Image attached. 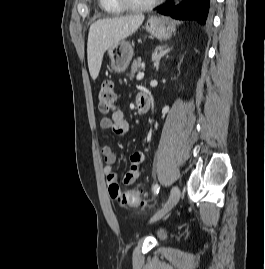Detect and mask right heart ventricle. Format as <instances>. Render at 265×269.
Segmentation results:
<instances>
[{"label": "right heart ventricle", "instance_id": "obj_1", "mask_svg": "<svg viewBox=\"0 0 265 269\" xmlns=\"http://www.w3.org/2000/svg\"><path fill=\"white\" fill-rule=\"evenodd\" d=\"M98 2L100 8L106 13L119 14L125 10L116 0H98Z\"/></svg>", "mask_w": 265, "mask_h": 269}]
</instances>
